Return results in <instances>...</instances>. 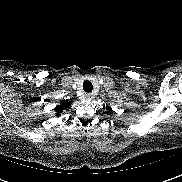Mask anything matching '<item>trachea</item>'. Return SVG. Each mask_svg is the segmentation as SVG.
Returning <instances> with one entry per match:
<instances>
[{
	"instance_id": "1",
	"label": "trachea",
	"mask_w": 182,
	"mask_h": 182,
	"mask_svg": "<svg viewBox=\"0 0 182 182\" xmlns=\"http://www.w3.org/2000/svg\"><path fill=\"white\" fill-rule=\"evenodd\" d=\"M83 90L85 92H92V90H93L92 82L89 81V80L84 81V83H83Z\"/></svg>"
}]
</instances>
